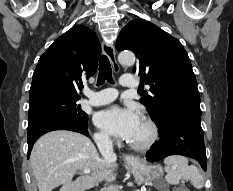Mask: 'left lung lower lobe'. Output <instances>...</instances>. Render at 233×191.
<instances>
[{
	"label": "left lung lower lobe",
	"instance_id": "left-lung-lower-lobe-1",
	"mask_svg": "<svg viewBox=\"0 0 233 191\" xmlns=\"http://www.w3.org/2000/svg\"><path fill=\"white\" fill-rule=\"evenodd\" d=\"M158 127L160 140L147 153V161L155 162L170 155H183L198 160L206 171L201 114L183 111L169 113L163 116Z\"/></svg>",
	"mask_w": 233,
	"mask_h": 191
}]
</instances>
